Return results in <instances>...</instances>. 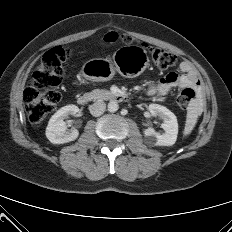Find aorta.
Here are the masks:
<instances>
[{
	"mask_svg": "<svg viewBox=\"0 0 232 232\" xmlns=\"http://www.w3.org/2000/svg\"><path fill=\"white\" fill-rule=\"evenodd\" d=\"M119 109V105L117 102L115 101H110L108 103V111L111 112V113H114L116 112L117 110Z\"/></svg>",
	"mask_w": 232,
	"mask_h": 232,
	"instance_id": "1",
	"label": "aorta"
}]
</instances>
